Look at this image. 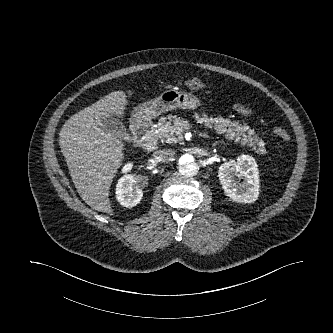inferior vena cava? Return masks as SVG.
Segmentation results:
<instances>
[{
    "label": "inferior vena cava",
    "mask_w": 333,
    "mask_h": 333,
    "mask_svg": "<svg viewBox=\"0 0 333 333\" xmlns=\"http://www.w3.org/2000/svg\"><path fill=\"white\" fill-rule=\"evenodd\" d=\"M175 155V151L173 149H163L154 152V157L157 158L158 161L164 162L169 160Z\"/></svg>",
    "instance_id": "obj_1"
}]
</instances>
